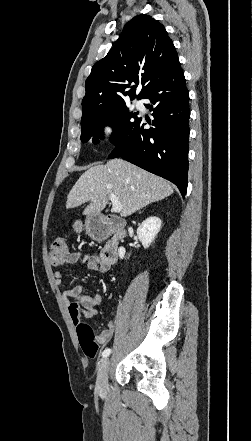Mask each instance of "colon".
I'll return each mask as SVG.
<instances>
[{
  "label": "colon",
  "instance_id": "colon-1",
  "mask_svg": "<svg viewBox=\"0 0 252 441\" xmlns=\"http://www.w3.org/2000/svg\"><path fill=\"white\" fill-rule=\"evenodd\" d=\"M68 255V246L64 239L54 240L49 248V258L52 265H58ZM80 346L86 356L95 358L99 352V344L95 338L93 329L84 322L76 325Z\"/></svg>",
  "mask_w": 252,
  "mask_h": 441
}]
</instances>
